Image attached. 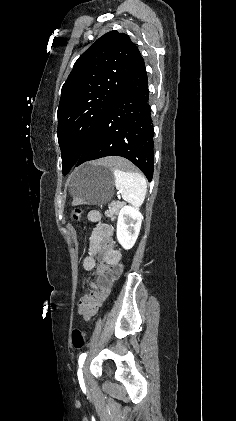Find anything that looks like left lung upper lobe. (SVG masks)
I'll use <instances>...</instances> for the list:
<instances>
[{
    "label": "left lung upper lobe",
    "instance_id": "5c2ea615",
    "mask_svg": "<svg viewBox=\"0 0 236 421\" xmlns=\"http://www.w3.org/2000/svg\"><path fill=\"white\" fill-rule=\"evenodd\" d=\"M139 55L128 35L110 31L75 62L58 107L62 163L74 166L123 89Z\"/></svg>",
    "mask_w": 236,
    "mask_h": 421
}]
</instances>
